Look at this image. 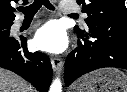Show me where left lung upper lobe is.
<instances>
[{
    "label": "left lung upper lobe",
    "mask_w": 127,
    "mask_h": 92,
    "mask_svg": "<svg viewBox=\"0 0 127 92\" xmlns=\"http://www.w3.org/2000/svg\"><path fill=\"white\" fill-rule=\"evenodd\" d=\"M83 5V12L88 14L85 19L89 29L98 25L127 26V9L124 0H77ZM76 33L85 31L78 26L74 27Z\"/></svg>",
    "instance_id": "obj_1"
}]
</instances>
